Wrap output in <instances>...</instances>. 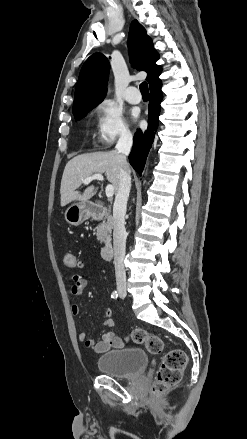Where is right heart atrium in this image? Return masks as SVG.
<instances>
[{"instance_id": "right-heart-atrium-1", "label": "right heart atrium", "mask_w": 247, "mask_h": 439, "mask_svg": "<svg viewBox=\"0 0 247 439\" xmlns=\"http://www.w3.org/2000/svg\"><path fill=\"white\" fill-rule=\"evenodd\" d=\"M97 128L96 141L108 147L119 139L129 138L130 128L121 112L109 101H103L96 108Z\"/></svg>"}]
</instances>
